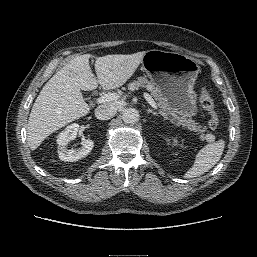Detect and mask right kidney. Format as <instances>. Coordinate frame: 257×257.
Wrapping results in <instances>:
<instances>
[{
  "mask_svg": "<svg viewBox=\"0 0 257 257\" xmlns=\"http://www.w3.org/2000/svg\"><path fill=\"white\" fill-rule=\"evenodd\" d=\"M78 129L79 125L73 123L67 126L65 130L58 135L57 144L60 160L74 162L87 156L93 149L94 142L91 139H84L82 146L78 149H69L68 144L77 137Z\"/></svg>",
  "mask_w": 257,
  "mask_h": 257,
  "instance_id": "right-kidney-1",
  "label": "right kidney"
}]
</instances>
